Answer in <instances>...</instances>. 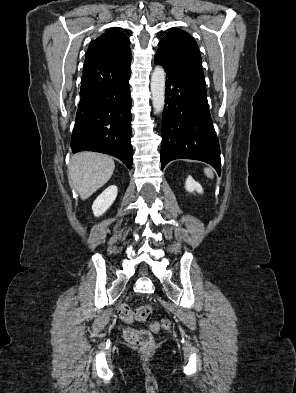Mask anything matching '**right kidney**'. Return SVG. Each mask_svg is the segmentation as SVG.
Returning <instances> with one entry per match:
<instances>
[{
  "mask_svg": "<svg viewBox=\"0 0 296 393\" xmlns=\"http://www.w3.org/2000/svg\"><path fill=\"white\" fill-rule=\"evenodd\" d=\"M118 188L116 185H111L105 189L94 201L92 205L93 214L96 217L104 214L113 204L117 197Z\"/></svg>",
  "mask_w": 296,
  "mask_h": 393,
  "instance_id": "obj_1",
  "label": "right kidney"
}]
</instances>
